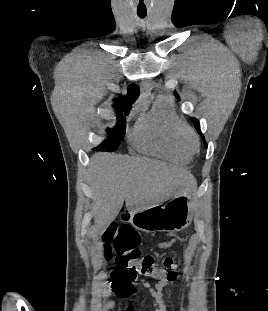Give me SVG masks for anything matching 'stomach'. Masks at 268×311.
Listing matches in <instances>:
<instances>
[{
	"mask_svg": "<svg viewBox=\"0 0 268 311\" xmlns=\"http://www.w3.org/2000/svg\"><path fill=\"white\" fill-rule=\"evenodd\" d=\"M190 195L182 192L173 197L165 206H152L130 212L131 224L145 232L167 231L171 233L186 229L192 221Z\"/></svg>",
	"mask_w": 268,
	"mask_h": 311,
	"instance_id": "1",
	"label": "stomach"
}]
</instances>
